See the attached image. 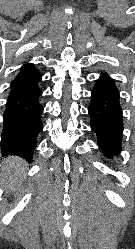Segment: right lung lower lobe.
Segmentation results:
<instances>
[{
    "instance_id": "1",
    "label": "right lung lower lobe",
    "mask_w": 135,
    "mask_h": 249,
    "mask_svg": "<svg viewBox=\"0 0 135 249\" xmlns=\"http://www.w3.org/2000/svg\"><path fill=\"white\" fill-rule=\"evenodd\" d=\"M40 73L15 78L10 84L3 114L1 153L17 155L31 162L37 137L43 129Z\"/></svg>"
}]
</instances>
